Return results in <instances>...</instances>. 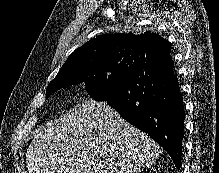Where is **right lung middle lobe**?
<instances>
[{"mask_svg": "<svg viewBox=\"0 0 219 173\" xmlns=\"http://www.w3.org/2000/svg\"><path fill=\"white\" fill-rule=\"evenodd\" d=\"M127 62L113 63L96 68L88 73H64L57 77L46 89V97L62 87L83 83L87 93L96 101H105L119 81L135 69Z\"/></svg>", "mask_w": 219, "mask_h": 173, "instance_id": "right-lung-middle-lobe-1", "label": "right lung middle lobe"}]
</instances>
